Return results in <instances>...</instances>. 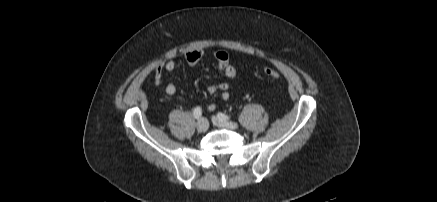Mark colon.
I'll list each match as a JSON object with an SVG mask.
<instances>
[{
  "label": "colon",
  "mask_w": 437,
  "mask_h": 202,
  "mask_svg": "<svg viewBox=\"0 0 437 202\" xmlns=\"http://www.w3.org/2000/svg\"><path fill=\"white\" fill-rule=\"evenodd\" d=\"M264 73L266 76H268L269 78H272V79H278L280 77L279 72L275 69H272V68H265Z\"/></svg>",
  "instance_id": "colon-1"
}]
</instances>
